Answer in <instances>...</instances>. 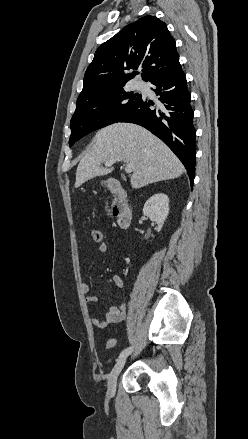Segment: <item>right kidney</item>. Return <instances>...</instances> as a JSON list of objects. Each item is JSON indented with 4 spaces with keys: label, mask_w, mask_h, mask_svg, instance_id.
<instances>
[{
    "label": "right kidney",
    "mask_w": 248,
    "mask_h": 439,
    "mask_svg": "<svg viewBox=\"0 0 248 439\" xmlns=\"http://www.w3.org/2000/svg\"><path fill=\"white\" fill-rule=\"evenodd\" d=\"M143 214L156 222L157 231H161L164 222L169 214V198L164 193H157L151 196L144 204Z\"/></svg>",
    "instance_id": "right-kidney-1"
}]
</instances>
